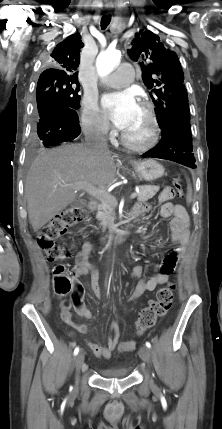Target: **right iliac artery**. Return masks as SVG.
Instances as JSON below:
<instances>
[{
  "label": "right iliac artery",
  "instance_id": "right-iliac-artery-1",
  "mask_svg": "<svg viewBox=\"0 0 222 429\" xmlns=\"http://www.w3.org/2000/svg\"><path fill=\"white\" fill-rule=\"evenodd\" d=\"M78 352H79V347H76L74 350V356H76L78 354Z\"/></svg>",
  "mask_w": 222,
  "mask_h": 429
}]
</instances>
